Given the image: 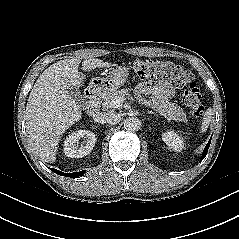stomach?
<instances>
[{
    "instance_id": "stomach-1",
    "label": "stomach",
    "mask_w": 239,
    "mask_h": 239,
    "mask_svg": "<svg viewBox=\"0 0 239 239\" xmlns=\"http://www.w3.org/2000/svg\"><path fill=\"white\" fill-rule=\"evenodd\" d=\"M128 77L125 67H117L109 72L107 77H95L89 83V88L97 92H108L123 85Z\"/></svg>"
}]
</instances>
